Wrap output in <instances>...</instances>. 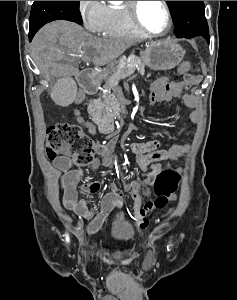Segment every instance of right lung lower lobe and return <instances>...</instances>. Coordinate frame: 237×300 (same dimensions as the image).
<instances>
[{
    "instance_id": "98d812e1",
    "label": "right lung lower lobe",
    "mask_w": 237,
    "mask_h": 300,
    "mask_svg": "<svg viewBox=\"0 0 237 300\" xmlns=\"http://www.w3.org/2000/svg\"><path fill=\"white\" fill-rule=\"evenodd\" d=\"M35 33L36 32L29 31V39H30V41L33 38V36L35 35Z\"/></svg>"
}]
</instances>
